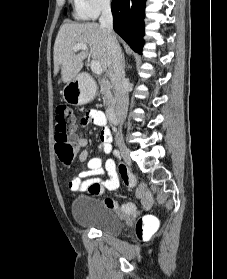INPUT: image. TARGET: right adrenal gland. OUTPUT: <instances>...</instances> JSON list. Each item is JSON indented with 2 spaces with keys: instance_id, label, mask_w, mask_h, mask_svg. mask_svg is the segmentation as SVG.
I'll return each instance as SVG.
<instances>
[{
  "instance_id": "1",
  "label": "right adrenal gland",
  "mask_w": 227,
  "mask_h": 279,
  "mask_svg": "<svg viewBox=\"0 0 227 279\" xmlns=\"http://www.w3.org/2000/svg\"><path fill=\"white\" fill-rule=\"evenodd\" d=\"M122 58H123V64H124V67H125V57H124V53L122 54Z\"/></svg>"
}]
</instances>
